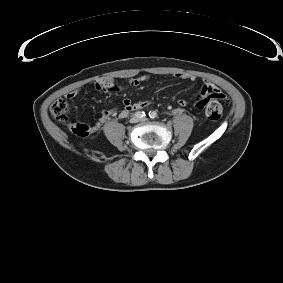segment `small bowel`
Masks as SVG:
<instances>
[{
	"mask_svg": "<svg viewBox=\"0 0 283 283\" xmlns=\"http://www.w3.org/2000/svg\"><path fill=\"white\" fill-rule=\"evenodd\" d=\"M175 77L178 79L189 80V81H195L196 79L194 75L187 73H179L176 74ZM147 80H148L147 76H142L140 78L129 81V85L137 87ZM95 86L100 92H119L122 89L121 87L117 86L111 79L98 80L95 82ZM80 91H81L80 88L71 90L66 94V97L68 99H72L76 97ZM219 93L220 90L214 84L210 82H204L200 88L198 98L193 102L192 105L195 109H206L209 106V104L216 99ZM150 104L151 101L148 100L132 103L130 100L125 99L123 101V107L120 115L121 117H125L132 111H137L147 108ZM178 104L180 107H185L188 105V102L184 99H181L178 101ZM115 114L116 112L113 110L102 111L101 117L98 120V122L91 126L92 132L98 131L103 126V124L111 117H113Z\"/></svg>",
	"mask_w": 283,
	"mask_h": 283,
	"instance_id": "small-bowel-1",
	"label": "small bowel"
}]
</instances>
